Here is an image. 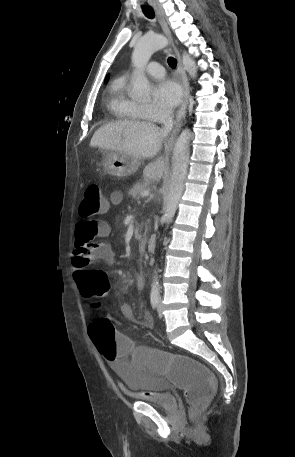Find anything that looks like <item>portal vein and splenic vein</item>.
Here are the masks:
<instances>
[{
    "label": "portal vein and splenic vein",
    "instance_id": "18ae733b",
    "mask_svg": "<svg viewBox=\"0 0 295 457\" xmlns=\"http://www.w3.org/2000/svg\"><path fill=\"white\" fill-rule=\"evenodd\" d=\"M148 195H149V191L145 190V191L142 192V196H143V197H146V196H148Z\"/></svg>",
    "mask_w": 295,
    "mask_h": 457
}]
</instances>
